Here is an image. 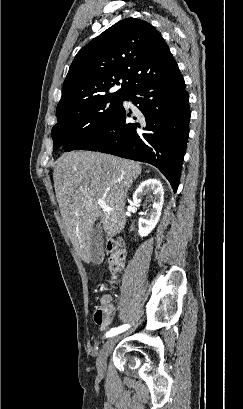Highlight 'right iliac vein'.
<instances>
[{
	"label": "right iliac vein",
	"mask_w": 243,
	"mask_h": 409,
	"mask_svg": "<svg viewBox=\"0 0 243 409\" xmlns=\"http://www.w3.org/2000/svg\"><path fill=\"white\" fill-rule=\"evenodd\" d=\"M118 338L117 337H111L109 338L103 348L101 349L98 358H97V370L100 376H103L106 370V362L109 354L112 352Z\"/></svg>",
	"instance_id": "right-iliac-vein-1"
}]
</instances>
